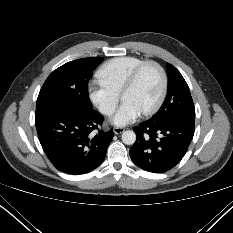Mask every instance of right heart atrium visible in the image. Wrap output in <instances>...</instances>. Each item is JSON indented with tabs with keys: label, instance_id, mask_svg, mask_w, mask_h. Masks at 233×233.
Listing matches in <instances>:
<instances>
[{
	"label": "right heart atrium",
	"instance_id": "d8ad5b80",
	"mask_svg": "<svg viewBox=\"0 0 233 233\" xmlns=\"http://www.w3.org/2000/svg\"><path fill=\"white\" fill-rule=\"evenodd\" d=\"M89 98L105 116H111L119 102V94L99 80H93L89 84Z\"/></svg>",
	"mask_w": 233,
	"mask_h": 233
}]
</instances>
